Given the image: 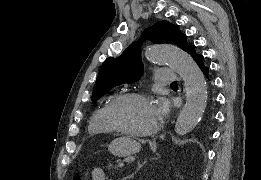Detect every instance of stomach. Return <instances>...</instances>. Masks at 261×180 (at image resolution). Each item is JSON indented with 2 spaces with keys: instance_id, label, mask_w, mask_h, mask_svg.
Masks as SVG:
<instances>
[{
  "instance_id": "0dacf381",
  "label": "stomach",
  "mask_w": 261,
  "mask_h": 180,
  "mask_svg": "<svg viewBox=\"0 0 261 180\" xmlns=\"http://www.w3.org/2000/svg\"><path fill=\"white\" fill-rule=\"evenodd\" d=\"M140 149V143L129 137L116 138L108 146V150L117 157H127L133 155L138 153Z\"/></svg>"
}]
</instances>
